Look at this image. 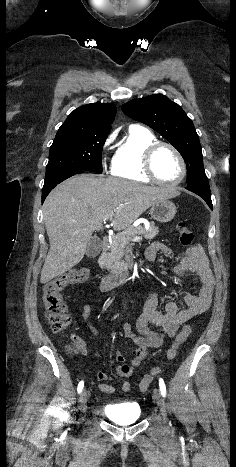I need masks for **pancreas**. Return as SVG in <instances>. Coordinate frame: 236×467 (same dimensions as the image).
I'll return each mask as SVG.
<instances>
[{
	"mask_svg": "<svg viewBox=\"0 0 236 467\" xmlns=\"http://www.w3.org/2000/svg\"><path fill=\"white\" fill-rule=\"evenodd\" d=\"M159 232L154 222H150L148 230L143 226L128 227L123 232L113 236L109 252L103 255L102 266L110 271L112 275H119L127 270V264L123 260L125 252L130 247L132 237L143 235L145 239H153Z\"/></svg>",
	"mask_w": 236,
	"mask_h": 467,
	"instance_id": "obj_1",
	"label": "pancreas"
}]
</instances>
